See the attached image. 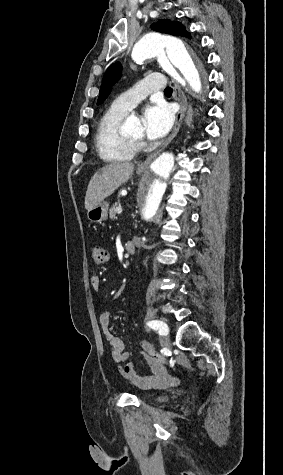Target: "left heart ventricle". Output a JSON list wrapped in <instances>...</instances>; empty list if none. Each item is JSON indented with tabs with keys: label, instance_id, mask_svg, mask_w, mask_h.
<instances>
[{
	"label": "left heart ventricle",
	"instance_id": "obj_1",
	"mask_svg": "<svg viewBox=\"0 0 283 475\" xmlns=\"http://www.w3.org/2000/svg\"><path fill=\"white\" fill-rule=\"evenodd\" d=\"M143 135H144V130L140 124L139 127L134 132L125 136L132 139H139V138H142Z\"/></svg>",
	"mask_w": 283,
	"mask_h": 475
}]
</instances>
